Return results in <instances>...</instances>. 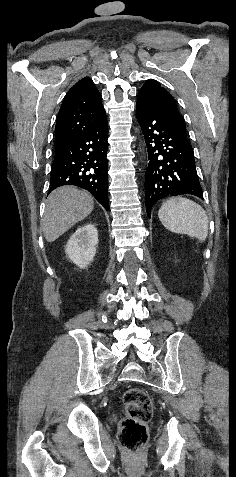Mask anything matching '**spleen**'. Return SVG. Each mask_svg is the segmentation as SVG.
<instances>
[{
  "mask_svg": "<svg viewBox=\"0 0 236 477\" xmlns=\"http://www.w3.org/2000/svg\"><path fill=\"white\" fill-rule=\"evenodd\" d=\"M158 217L163 226L175 233L187 234L204 241L208 235L209 221L205 210L192 200L175 197L159 209Z\"/></svg>",
  "mask_w": 236,
  "mask_h": 477,
  "instance_id": "spleen-1",
  "label": "spleen"
}]
</instances>
